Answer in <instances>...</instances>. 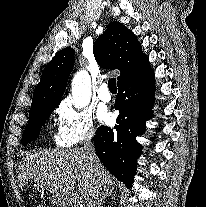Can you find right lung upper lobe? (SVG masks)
Returning <instances> with one entry per match:
<instances>
[{"label": "right lung upper lobe", "mask_w": 206, "mask_h": 207, "mask_svg": "<svg viewBox=\"0 0 206 207\" xmlns=\"http://www.w3.org/2000/svg\"><path fill=\"white\" fill-rule=\"evenodd\" d=\"M93 53L101 67L120 70L118 82L134 72L146 58L134 33L120 22H112L107 27L95 41ZM74 54V49L65 48L47 64L35 89L30 112L61 102L74 65Z\"/></svg>", "instance_id": "cb5924a9"}]
</instances>
